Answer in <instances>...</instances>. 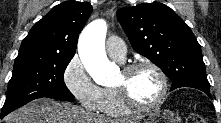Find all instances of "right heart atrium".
<instances>
[{"label": "right heart atrium", "instance_id": "right-heart-atrium-1", "mask_svg": "<svg viewBox=\"0 0 221 123\" xmlns=\"http://www.w3.org/2000/svg\"><path fill=\"white\" fill-rule=\"evenodd\" d=\"M63 81L83 108L94 112L100 110L103 90L94 83L78 56L68 62Z\"/></svg>", "mask_w": 221, "mask_h": 123}]
</instances>
